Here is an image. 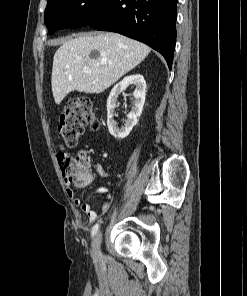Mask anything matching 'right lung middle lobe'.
Masks as SVG:
<instances>
[{
    "mask_svg": "<svg viewBox=\"0 0 247 296\" xmlns=\"http://www.w3.org/2000/svg\"><path fill=\"white\" fill-rule=\"evenodd\" d=\"M105 0H48L44 14L50 34L87 25L101 12Z\"/></svg>",
    "mask_w": 247,
    "mask_h": 296,
    "instance_id": "1",
    "label": "right lung middle lobe"
}]
</instances>
